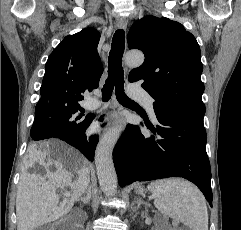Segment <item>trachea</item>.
Here are the masks:
<instances>
[{"instance_id":"1","label":"trachea","mask_w":241,"mask_h":230,"mask_svg":"<svg viewBox=\"0 0 241 230\" xmlns=\"http://www.w3.org/2000/svg\"><path fill=\"white\" fill-rule=\"evenodd\" d=\"M125 49V32L118 29L112 39L111 51L108 60V78L102 89V100L108 101L115 86L116 97L120 103L135 104L124 93V71L122 57Z\"/></svg>"}]
</instances>
